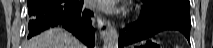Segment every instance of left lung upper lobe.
I'll return each instance as SVG.
<instances>
[{
    "label": "left lung upper lobe",
    "mask_w": 213,
    "mask_h": 48,
    "mask_svg": "<svg viewBox=\"0 0 213 48\" xmlns=\"http://www.w3.org/2000/svg\"><path fill=\"white\" fill-rule=\"evenodd\" d=\"M146 1H153V2L171 1V2H175V3H178V4L182 5V6L190 8L189 0H146Z\"/></svg>",
    "instance_id": "left-lung-upper-lobe-1"
}]
</instances>
